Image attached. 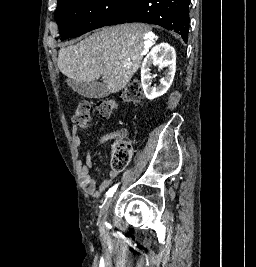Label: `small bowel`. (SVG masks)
I'll return each instance as SVG.
<instances>
[{
	"label": "small bowel",
	"mask_w": 256,
	"mask_h": 267,
	"mask_svg": "<svg viewBox=\"0 0 256 267\" xmlns=\"http://www.w3.org/2000/svg\"><path fill=\"white\" fill-rule=\"evenodd\" d=\"M72 139H73V144L77 149L80 148L81 145L83 144L82 134L78 129V127L76 126L72 128ZM108 140L109 141L122 140V137H117L113 136L112 134H107L99 139L98 144L102 145ZM92 165L93 163L89 153H87L84 158L78 156L77 154V172L81 181V186L87 195H89L92 198H99L101 193L105 192L110 187L112 182L115 180V178L117 177V171L115 170L111 171L108 177L105 178L97 188L93 178L90 176V170L92 168Z\"/></svg>",
	"instance_id": "1"
}]
</instances>
